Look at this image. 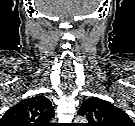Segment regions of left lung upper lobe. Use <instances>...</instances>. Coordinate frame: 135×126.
<instances>
[{"label":"left lung upper lobe","mask_w":135,"mask_h":126,"mask_svg":"<svg viewBox=\"0 0 135 126\" xmlns=\"http://www.w3.org/2000/svg\"><path fill=\"white\" fill-rule=\"evenodd\" d=\"M78 115L87 118V126H133L130 117L124 111L97 97L84 101Z\"/></svg>","instance_id":"5c2ea615"}]
</instances>
